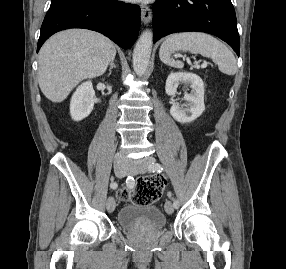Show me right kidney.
Wrapping results in <instances>:
<instances>
[{
	"instance_id": "right-kidney-1",
	"label": "right kidney",
	"mask_w": 286,
	"mask_h": 269,
	"mask_svg": "<svg viewBox=\"0 0 286 269\" xmlns=\"http://www.w3.org/2000/svg\"><path fill=\"white\" fill-rule=\"evenodd\" d=\"M94 96L91 81L78 86L70 102V115L74 121H81L90 115L94 107Z\"/></svg>"
}]
</instances>
